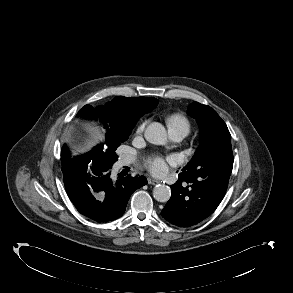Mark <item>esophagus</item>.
Returning a JSON list of instances; mask_svg holds the SVG:
<instances>
[{"instance_id":"obj_1","label":"esophagus","mask_w":293,"mask_h":293,"mask_svg":"<svg viewBox=\"0 0 293 293\" xmlns=\"http://www.w3.org/2000/svg\"><path fill=\"white\" fill-rule=\"evenodd\" d=\"M148 184L157 185V184H160V181L157 180V179H154V178L149 177L148 178Z\"/></svg>"}]
</instances>
